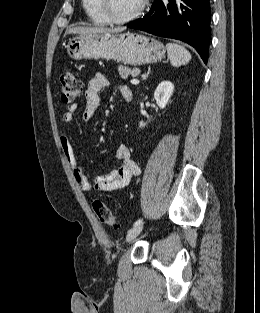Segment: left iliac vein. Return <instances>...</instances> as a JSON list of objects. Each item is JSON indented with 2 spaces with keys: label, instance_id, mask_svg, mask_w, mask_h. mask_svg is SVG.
I'll return each instance as SVG.
<instances>
[{
  "label": "left iliac vein",
  "instance_id": "obj_1",
  "mask_svg": "<svg viewBox=\"0 0 260 313\" xmlns=\"http://www.w3.org/2000/svg\"><path fill=\"white\" fill-rule=\"evenodd\" d=\"M143 225H137L131 228L128 233H127V241H132L134 240L142 231Z\"/></svg>",
  "mask_w": 260,
  "mask_h": 313
}]
</instances>
